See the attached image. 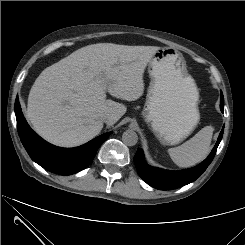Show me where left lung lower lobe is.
Returning a JSON list of instances; mask_svg holds the SVG:
<instances>
[{"label": "left lung lower lobe", "mask_w": 245, "mask_h": 245, "mask_svg": "<svg viewBox=\"0 0 245 245\" xmlns=\"http://www.w3.org/2000/svg\"><path fill=\"white\" fill-rule=\"evenodd\" d=\"M220 109L224 112V98L221 92ZM224 126L220 132L218 140L210 155L196 167L181 171H164L158 168L148 166L144 160L143 152L138 149L134 156V163L140 177L150 186L159 190L177 189L195 181L212 162L218 145L222 139Z\"/></svg>", "instance_id": "left-lung-lower-lobe-1"}]
</instances>
